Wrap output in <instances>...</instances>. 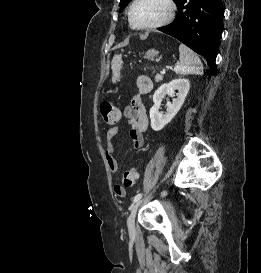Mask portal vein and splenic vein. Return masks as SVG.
Wrapping results in <instances>:
<instances>
[{
  "mask_svg": "<svg viewBox=\"0 0 261 273\" xmlns=\"http://www.w3.org/2000/svg\"><path fill=\"white\" fill-rule=\"evenodd\" d=\"M166 73V71H165V69H163L162 71H161V74H165Z\"/></svg>",
  "mask_w": 261,
  "mask_h": 273,
  "instance_id": "1",
  "label": "portal vein and splenic vein"
}]
</instances>
